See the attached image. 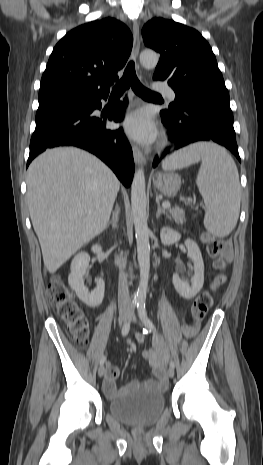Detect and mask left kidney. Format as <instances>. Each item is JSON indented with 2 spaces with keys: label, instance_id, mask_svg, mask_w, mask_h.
<instances>
[{
  "label": "left kidney",
  "instance_id": "left-kidney-1",
  "mask_svg": "<svg viewBox=\"0 0 263 465\" xmlns=\"http://www.w3.org/2000/svg\"><path fill=\"white\" fill-rule=\"evenodd\" d=\"M161 242L164 245H171L180 240L181 235L169 227H163L160 232ZM188 249V257L194 264V276L191 278V285L188 281L182 280L177 273L173 274V285L176 291L185 299H191L201 290L204 283V262L200 249L196 242L191 239L185 241Z\"/></svg>",
  "mask_w": 263,
  "mask_h": 465
}]
</instances>
